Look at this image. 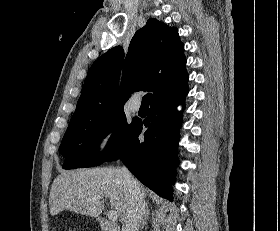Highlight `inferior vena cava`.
Masks as SVG:
<instances>
[{"instance_id":"602c4592","label":"inferior vena cava","mask_w":280,"mask_h":231,"mask_svg":"<svg viewBox=\"0 0 280 231\" xmlns=\"http://www.w3.org/2000/svg\"><path fill=\"white\" fill-rule=\"evenodd\" d=\"M130 195V211L123 223L122 231H139L145 215L144 195L138 179H135L127 167L120 169Z\"/></svg>"}]
</instances>
